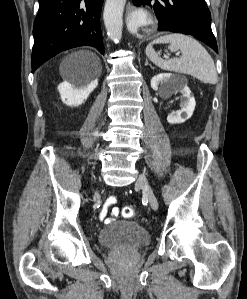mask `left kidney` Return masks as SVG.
<instances>
[{
  "label": "left kidney",
  "instance_id": "left-kidney-1",
  "mask_svg": "<svg viewBox=\"0 0 247 299\" xmlns=\"http://www.w3.org/2000/svg\"><path fill=\"white\" fill-rule=\"evenodd\" d=\"M159 85H161L163 90L169 91V93H182L180 103L181 109L170 113L167 117V121L170 124H179L191 118L196 102L191 95L190 89L186 85H180L174 76L166 73L158 74L151 79V87L153 90H158Z\"/></svg>",
  "mask_w": 247,
  "mask_h": 299
}]
</instances>
